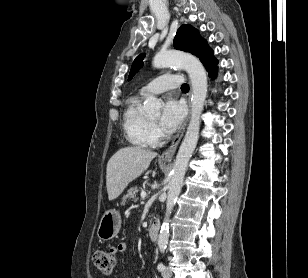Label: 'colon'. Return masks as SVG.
I'll list each match as a JSON object with an SVG mask.
<instances>
[{
  "instance_id": "1",
  "label": "colon",
  "mask_w": 308,
  "mask_h": 278,
  "mask_svg": "<svg viewBox=\"0 0 308 278\" xmlns=\"http://www.w3.org/2000/svg\"><path fill=\"white\" fill-rule=\"evenodd\" d=\"M93 263L100 273L108 275L114 269L116 257L110 250H99L93 255Z\"/></svg>"
}]
</instances>
